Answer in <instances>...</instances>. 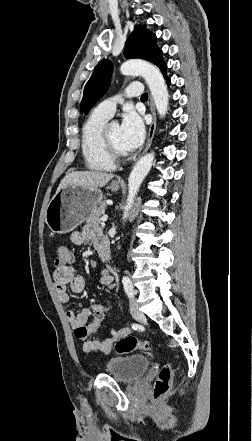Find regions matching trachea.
Listing matches in <instances>:
<instances>
[{"label": "trachea", "mask_w": 252, "mask_h": 441, "mask_svg": "<svg viewBox=\"0 0 252 441\" xmlns=\"http://www.w3.org/2000/svg\"><path fill=\"white\" fill-rule=\"evenodd\" d=\"M147 98H148V94L147 93L142 94L141 99H147Z\"/></svg>", "instance_id": "1"}]
</instances>
